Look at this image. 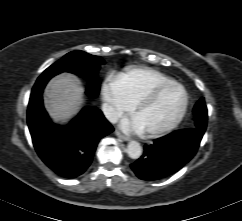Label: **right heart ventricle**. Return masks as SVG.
Listing matches in <instances>:
<instances>
[{
  "mask_svg": "<svg viewBox=\"0 0 242 221\" xmlns=\"http://www.w3.org/2000/svg\"><path fill=\"white\" fill-rule=\"evenodd\" d=\"M132 105H136L156 86L173 81L170 77L148 68H131L115 78Z\"/></svg>",
  "mask_w": 242,
  "mask_h": 221,
  "instance_id": "e07e8e85",
  "label": "right heart ventricle"
}]
</instances>
